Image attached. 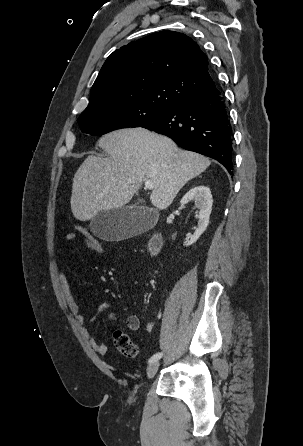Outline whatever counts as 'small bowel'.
I'll return each instance as SVG.
<instances>
[{"label":"small bowel","instance_id":"1","mask_svg":"<svg viewBox=\"0 0 303 446\" xmlns=\"http://www.w3.org/2000/svg\"><path fill=\"white\" fill-rule=\"evenodd\" d=\"M76 238H79L82 241V243L84 244V246L89 251L95 252L91 239L84 237V236H80L76 233H69L66 235V240L68 242H72ZM59 282H60L62 293H63V296L65 298V301H66V304H67L69 310L71 311V313L74 316V318L76 319V321L79 324H83L84 313L81 311L79 302L72 291V288L69 284V281H68L66 275L63 272L59 273ZM109 306H110L109 301H104L102 304H100V306L97 309L96 316L92 319V321L95 320L97 317L101 316L102 314L106 313L108 311ZM108 317L112 321H115V322H118V323L124 325L130 331H137L140 328V320L136 315H129V316L120 318L116 313L108 312ZM154 328H155L154 322L149 321L146 324L147 331L151 332L154 330ZM89 343L92 346V348L97 353H99L101 355H105L108 351V347L105 343L98 342L95 339V337H93L91 335L89 336Z\"/></svg>","mask_w":303,"mask_h":446}]
</instances>
